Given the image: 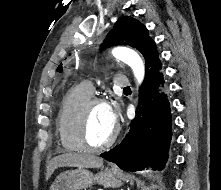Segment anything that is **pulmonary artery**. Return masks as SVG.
Instances as JSON below:
<instances>
[{
	"mask_svg": "<svg viewBox=\"0 0 221 190\" xmlns=\"http://www.w3.org/2000/svg\"><path fill=\"white\" fill-rule=\"evenodd\" d=\"M114 84L117 87H127L129 86V80L127 78V76L123 75V74H118L114 77ZM83 86L85 87V89L89 92V93H93V86L91 84V82L86 81Z\"/></svg>",
	"mask_w": 221,
	"mask_h": 190,
	"instance_id": "pulmonary-artery-1",
	"label": "pulmonary artery"
}]
</instances>
